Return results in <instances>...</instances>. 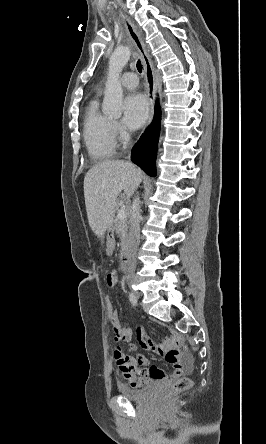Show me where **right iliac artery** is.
<instances>
[{"label":"right iliac artery","mask_w":266,"mask_h":444,"mask_svg":"<svg viewBox=\"0 0 266 444\" xmlns=\"http://www.w3.org/2000/svg\"><path fill=\"white\" fill-rule=\"evenodd\" d=\"M129 300L132 303L133 306L137 305V299L133 293H129Z\"/></svg>","instance_id":"right-iliac-artery-1"}]
</instances>
